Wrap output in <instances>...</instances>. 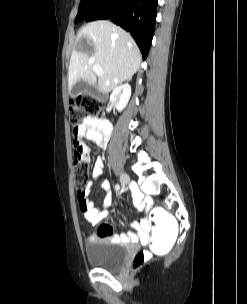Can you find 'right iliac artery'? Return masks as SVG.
<instances>
[{
	"mask_svg": "<svg viewBox=\"0 0 247 304\" xmlns=\"http://www.w3.org/2000/svg\"><path fill=\"white\" fill-rule=\"evenodd\" d=\"M119 184L115 186V190L118 192Z\"/></svg>",
	"mask_w": 247,
	"mask_h": 304,
	"instance_id": "obj_1",
	"label": "right iliac artery"
}]
</instances>
